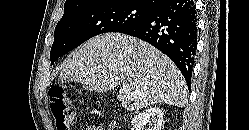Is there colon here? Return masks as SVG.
<instances>
[{
    "mask_svg": "<svg viewBox=\"0 0 249 130\" xmlns=\"http://www.w3.org/2000/svg\"><path fill=\"white\" fill-rule=\"evenodd\" d=\"M50 110L54 118L57 130H71L75 123V115L70 105L65 88L57 85L49 91Z\"/></svg>",
    "mask_w": 249,
    "mask_h": 130,
    "instance_id": "1",
    "label": "colon"
}]
</instances>
